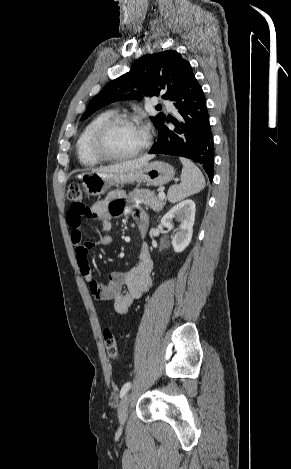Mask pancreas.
I'll return each instance as SVG.
<instances>
[{
    "instance_id": "1",
    "label": "pancreas",
    "mask_w": 291,
    "mask_h": 469,
    "mask_svg": "<svg viewBox=\"0 0 291 469\" xmlns=\"http://www.w3.org/2000/svg\"><path fill=\"white\" fill-rule=\"evenodd\" d=\"M129 196L135 201L144 204L155 211H160L166 204L165 199L157 198L154 191L149 189H138L136 188L133 192L129 193Z\"/></svg>"
}]
</instances>
